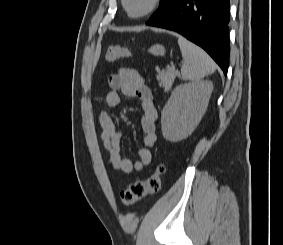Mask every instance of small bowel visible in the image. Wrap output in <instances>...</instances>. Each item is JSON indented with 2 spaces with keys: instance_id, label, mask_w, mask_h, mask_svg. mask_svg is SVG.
<instances>
[{
  "instance_id": "obj_1",
  "label": "small bowel",
  "mask_w": 283,
  "mask_h": 245,
  "mask_svg": "<svg viewBox=\"0 0 283 245\" xmlns=\"http://www.w3.org/2000/svg\"><path fill=\"white\" fill-rule=\"evenodd\" d=\"M110 91L106 95V103L110 109H115L120 103L121 92L128 98L140 102L142 115L140 128L143 133V144L138 151V160L132 162L120 153L122 133L117 129L113 117L108 112H101L99 123L101 126V148L107 156V163L115 171L126 174L142 172L151 162V147L155 144L156 121L158 113L153 101L151 89L147 86L144 77L135 69L122 68L111 74L107 79Z\"/></svg>"
}]
</instances>
